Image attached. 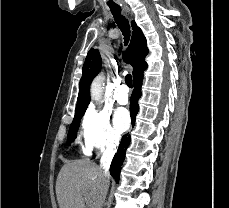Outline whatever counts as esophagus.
I'll return each instance as SVG.
<instances>
[{"label":"esophagus","mask_w":229,"mask_h":208,"mask_svg":"<svg viewBox=\"0 0 229 208\" xmlns=\"http://www.w3.org/2000/svg\"><path fill=\"white\" fill-rule=\"evenodd\" d=\"M124 11H125L127 14H129V13H130V10H129V8H128V7H124Z\"/></svg>","instance_id":"obj_1"}]
</instances>
